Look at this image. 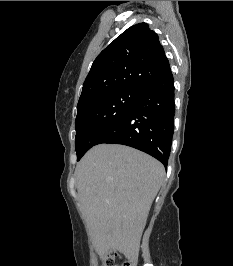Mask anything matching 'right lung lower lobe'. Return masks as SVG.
<instances>
[{"mask_svg": "<svg viewBox=\"0 0 233 266\" xmlns=\"http://www.w3.org/2000/svg\"><path fill=\"white\" fill-rule=\"evenodd\" d=\"M174 109L173 76L169 70L142 90L129 111L101 136L97 144L131 146L155 157L167 167Z\"/></svg>", "mask_w": 233, "mask_h": 266, "instance_id": "98d812e1", "label": "right lung lower lobe"}]
</instances>
